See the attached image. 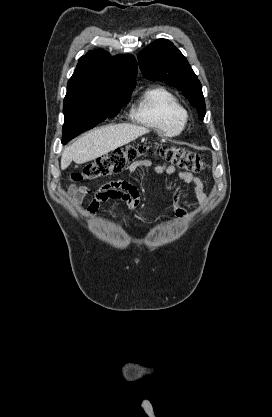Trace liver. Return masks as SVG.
Listing matches in <instances>:
<instances>
[{"label":"liver","mask_w":272,"mask_h":417,"mask_svg":"<svg viewBox=\"0 0 272 417\" xmlns=\"http://www.w3.org/2000/svg\"><path fill=\"white\" fill-rule=\"evenodd\" d=\"M148 132L145 127L126 123L95 129L63 150L61 169L65 170L72 161L77 164L92 161Z\"/></svg>","instance_id":"obj_1"}]
</instances>
